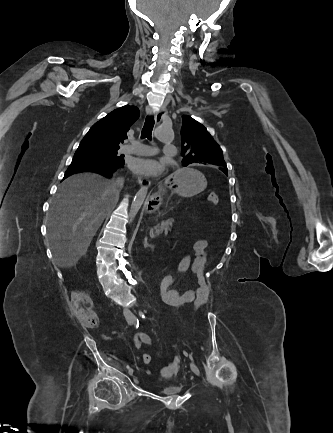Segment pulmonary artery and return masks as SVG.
I'll return each instance as SVG.
<instances>
[{
    "instance_id": "obj_1",
    "label": "pulmonary artery",
    "mask_w": 333,
    "mask_h": 433,
    "mask_svg": "<svg viewBox=\"0 0 333 433\" xmlns=\"http://www.w3.org/2000/svg\"><path fill=\"white\" fill-rule=\"evenodd\" d=\"M155 149L149 145L143 143H132L122 147L121 152L126 154H135L142 156H149L155 153ZM162 152L167 156H172L175 153L174 145L166 143L163 146Z\"/></svg>"
}]
</instances>
